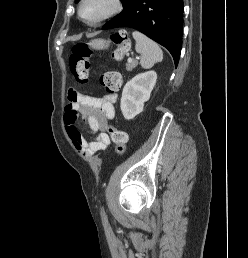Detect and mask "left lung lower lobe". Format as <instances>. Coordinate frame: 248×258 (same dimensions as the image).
Returning a JSON list of instances; mask_svg holds the SVG:
<instances>
[{"instance_id": "1", "label": "left lung lower lobe", "mask_w": 248, "mask_h": 258, "mask_svg": "<svg viewBox=\"0 0 248 258\" xmlns=\"http://www.w3.org/2000/svg\"><path fill=\"white\" fill-rule=\"evenodd\" d=\"M183 0H130L103 30L131 27L164 46L177 66L182 47Z\"/></svg>"}]
</instances>
